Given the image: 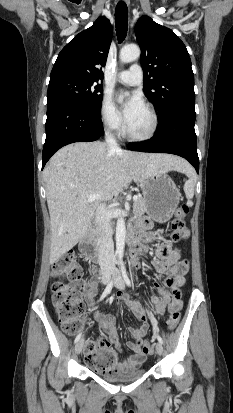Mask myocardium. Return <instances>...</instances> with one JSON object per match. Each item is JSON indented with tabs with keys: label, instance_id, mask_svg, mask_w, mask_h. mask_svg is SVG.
Returning a JSON list of instances; mask_svg holds the SVG:
<instances>
[{
	"label": "myocardium",
	"instance_id": "obj_1",
	"mask_svg": "<svg viewBox=\"0 0 233 413\" xmlns=\"http://www.w3.org/2000/svg\"><path fill=\"white\" fill-rule=\"evenodd\" d=\"M145 109L147 110L149 116H150V120H151V126L150 129L148 130L147 133L143 134V135H135L132 134L129 129L128 126H125V136L128 140L130 141H134V142H144V141H148L151 140L157 133L158 128H159V119H158V115L155 111V109L148 103L144 104Z\"/></svg>",
	"mask_w": 233,
	"mask_h": 413
}]
</instances>
